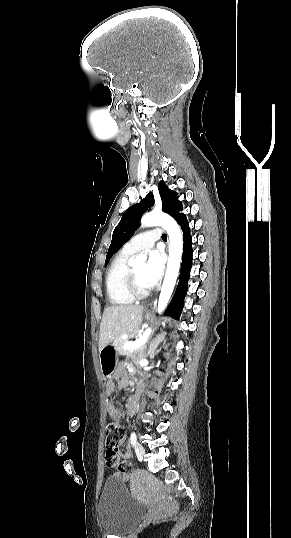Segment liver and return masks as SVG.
<instances>
[{
	"label": "liver",
	"mask_w": 291,
	"mask_h": 538,
	"mask_svg": "<svg viewBox=\"0 0 291 538\" xmlns=\"http://www.w3.org/2000/svg\"><path fill=\"white\" fill-rule=\"evenodd\" d=\"M144 306L112 305L105 308L100 323L99 351L123 334L133 333L142 322Z\"/></svg>",
	"instance_id": "obj_1"
}]
</instances>
